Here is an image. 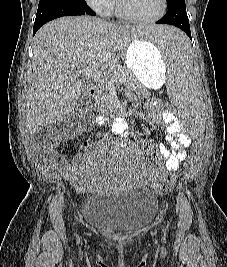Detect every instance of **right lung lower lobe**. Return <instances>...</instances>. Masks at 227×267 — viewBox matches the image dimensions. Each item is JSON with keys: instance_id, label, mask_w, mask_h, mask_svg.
Here are the masks:
<instances>
[{"instance_id": "1", "label": "right lung lower lobe", "mask_w": 227, "mask_h": 267, "mask_svg": "<svg viewBox=\"0 0 227 267\" xmlns=\"http://www.w3.org/2000/svg\"><path fill=\"white\" fill-rule=\"evenodd\" d=\"M96 15L86 3L67 4L54 2H39L36 19L34 22L33 35L45 23L62 16Z\"/></svg>"}]
</instances>
